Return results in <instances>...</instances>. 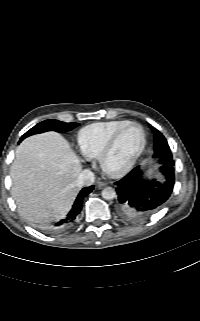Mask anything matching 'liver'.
<instances>
[{"label": "liver", "mask_w": 200, "mask_h": 321, "mask_svg": "<svg viewBox=\"0 0 200 321\" xmlns=\"http://www.w3.org/2000/svg\"><path fill=\"white\" fill-rule=\"evenodd\" d=\"M80 172L77 155L60 134L26 138L11 166V192L20 215L36 223L63 218L78 193Z\"/></svg>", "instance_id": "obj_1"}]
</instances>
